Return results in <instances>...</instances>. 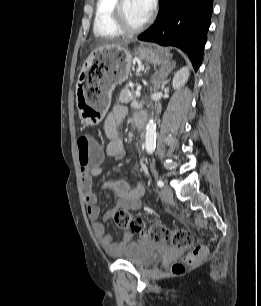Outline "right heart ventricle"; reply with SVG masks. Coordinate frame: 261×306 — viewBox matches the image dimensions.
<instances>
[{
    "mask_svg": "<svg viewBox=\"0 0 261 306\" xmlns=\"http://www.w3.org/2000/svg\"><path fill=\"white\" fill-rule=\"evenodd\" d=\"M117 1L97 0L93 22V32L96 37L114 39L124 35L115 21L114 7Z\"/></svg>",
    "mask_w": 261,
    "mask_h": 306,
    "instance_id": "1",
    "label": "right heart ventricle"
}]
</instances>
